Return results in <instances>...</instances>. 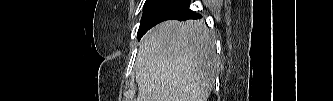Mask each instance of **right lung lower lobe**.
Here are the masks:
<instances>
[{"mask_svg": "<svg viewBox=\"0 0 333 101\" xmlns=\"http://www.w3.org/2000/svg\"><path fill=\"white\" fill-rule=\"evenodd\" d=\"M190 0H151L144 5L138 39L156 24L169 20L198 19L201 16L189 9Z\"/></svg>", "mask_w": 333, "mask_h": 101, "instance_id": "right-lung-lower-lobe-1", "label": "right lung lower lobe"}]
</instances>
